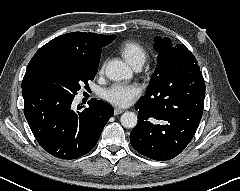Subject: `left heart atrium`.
<instances>
[{
  "label": "left heart atrium",
  "instance_id": "obj_1",
  "mask_svg": "<svg viewBox=\"0 0 240 191\" xmlns=\"http://www.w3.org/2000/svg\"><path fill=\"white\" fill-rule=\"evenodd\" d=\"M139 94L140 88L135 84L115 83L103 92V98L115 106L125 107Z\"/></svg>",
  "mask_w": 240,
  "mask_h": 191
}]
</instances>
